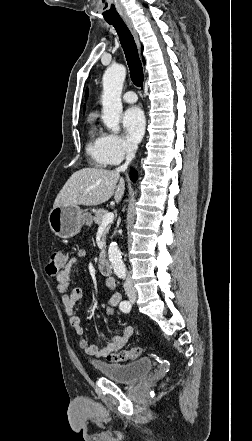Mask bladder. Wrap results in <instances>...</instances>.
<instances>
[{
	"label": "bladder",
	"mask_w": 252,
	"mask_h": 441,
	"mask_svg": "<svg viewBox=\"0 0 252 441\" xmlns=\"http://www.w3.org/2000/svg\"><path fill=\"white\" fill-rule=\"evenodd\" d=\"M100 373L115 382L131 384L146 377L152 370L151 358L142 357L130 363H96Z\"/></svg>",
	"instance_id": "bladder-1"
}]
</instances>
